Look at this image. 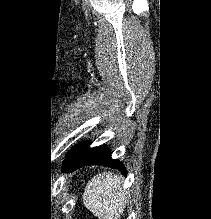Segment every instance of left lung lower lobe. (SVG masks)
<instances>
[{
	"instance_id": "1",
	"label": "left lung lower lobe",
	"mask_w": 211,
	"mask_h": 219,
	"mask_svg": "<svg viewBox=\"0 0 211 219\" xmlns=\"http://www.w3.org/2000/svg\"><path fill=\"white\" fill-rule=\"evenodd\" d=\"M86 165H105L119 169L123 174H126L123 163L112 159L110 150L107 147L89 148L88 142L78 144L67 154L62 169L64 171H74Z\"/></svg>"
}]
</instances>
